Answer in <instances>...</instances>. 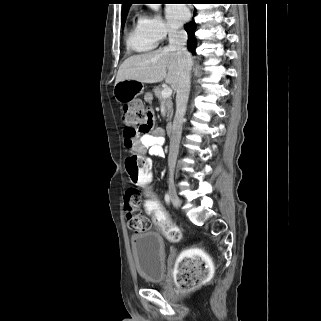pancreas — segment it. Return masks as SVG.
<instances>
[{
    "mask_svg": "<svg viewBox=\"0 0 321 321\" xmlns=\"http://www.w3.org/2000/svg\"><path fill=\"white\" fill-rule=\"evenodd\" d=\"M161 93H162V88L156 87L154 89V94L156 98H158L159 101L165 104L166 111H167V121H170L173 115V102L171 97L163 98Z\"/></svg>",
    "mask_w": 321,
    "mask_h": 321,
    "instance_id": "1",
    "label": "pancreas"
}]
</instances>
